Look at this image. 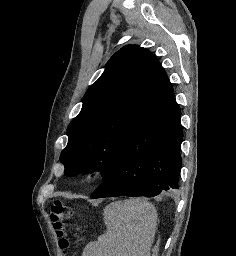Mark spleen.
Masks as SVG:
<instances>
[{
  "mask_svg": "<svg viewBox=\"0 0 236 256\" xmlns=\"http://www.w3.org/2000/svg\"><path fill=\"white\" fill-rule=\"evenodd\" d=\"M106 234L89 242L83 256H150L157 214L154 206L136 198L108 204L104 210Z\"/></svg>",
  "mask_w": 236,
  "mask_h": 256,
  "instance_id": "obj_1",
  "label": "spleen"
}]
</instances>
